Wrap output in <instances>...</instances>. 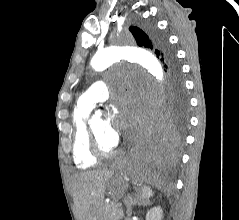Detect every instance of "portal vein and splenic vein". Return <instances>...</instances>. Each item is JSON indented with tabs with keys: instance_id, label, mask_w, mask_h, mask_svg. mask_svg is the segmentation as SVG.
I'll return each mask as SVG.
<instances>
[{
	"instance_id": "obj_1",
	"label": "portal vein and splenic vein",
	"mask_w": 239,
	"mask_h": 220,
	"mask_svg": "<svg viewBox=\"0 0 239 220\" xmlns=\"http://www.w3.org/2000/svg\"><path fill=\"white\" fill-rule=\"evenodd\" d=\"M117 206H118V207H121V206H122V203H117Z\"/></svg>"
}]
</instances>
